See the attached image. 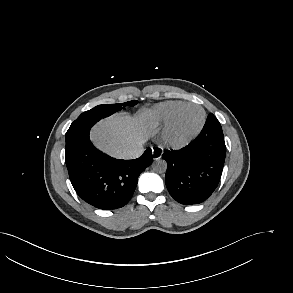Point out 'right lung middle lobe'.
<instances>
[{
    "instance_id": "right-lung-middle-lobe-1",
    "label": "right lung middle lobe",
    "mask_w": 293,
    "mask_h": 293,
    "mask_svg": "<svg viewBox=\"0 0 293 293\" xmlns=\"http://www.w3.org/2000/svg\"><path fill=\"white\" fill-rule=\"evenodd\" d=\"M138 103V101H129L125 103L119 104H107V105H99L94 107L91 110H88L82 113L70 126L66 135H69L73 131L80 129L85 126H93L96 122L101 120L102 118L108 117L116 111L121 110L122 106H134ZM65 135V136H66Z\"/></svg>"
}]
</instances>
